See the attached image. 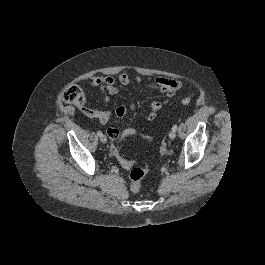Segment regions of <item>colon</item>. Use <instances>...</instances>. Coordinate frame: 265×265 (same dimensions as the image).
<instances>
[{
  "instance_id": "1",
  "label": "colon",
  "mask_w": 265,
  "mask_h": 265,
  "mask_svg": "<svg viewBox=\"0 0 265 265\" xmlns=\"http://www.w3.org/2000/svg\"><path fill=\"white\" fill-rule=\"evenodd\" d=\"M62 99L70 104H73L81 109H86L85 104H86V98L84 95V92L82 89L76 85L72 84L67 86L61 94ZM182 104L184 105H189L190 104V99L189 98H184L181 100ZM137 134V131L133 128H128L125 129L124 131L120 132L115 129H109L108 130V135L111 137L113 140H117L119 138H123L126 136H131ZM145 140H150L149 137L143 136ZM111 151L113 155L117 158L118 162L120 165L126 169H130L129 172V178H130V189L133 193H137L141 189V183L144 177L147 175L149 172L148 166H143V167H133L134 163L132 161H129L125 158H123L120 155V152L117 147L112 146Z\"/></svg>"
}]
</instances>
